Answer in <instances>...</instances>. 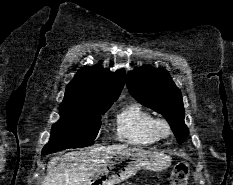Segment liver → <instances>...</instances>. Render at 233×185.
Returning <instances> with one entry per match:
<instances>
[{"instance_id": "liver-1", "label": "liver", "mask_w": 233, "mask_h": 185, "mask_svg": "<svg viewBox=\"0 0 233 185\" xmlns=\"http://www.w3.org/2000/svg\"><path fill=\"white\" fill-rule=\"evenodd\" d=\"M127 148L125 145H111L53 157L42 185H82Z\"/></svg>"}]
</instances>
